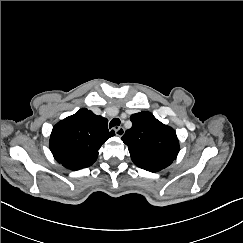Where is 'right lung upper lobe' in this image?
<instances>
[{"label": "right lung upper lobe", "mask_w": 243, "mask_h": 243, "mask_svg": "<svg viewBox=\"0 0 243 243\" xmlns=\"http://www.w3.org/2000/svg\"><path fill=\"white\" fill-rule=\"evenodd\" d=\"M108 120L86 108L58 122L50 136L54 158L67 169L79 170L91 166L104 142L115 135L109 131Z\"/></svg>", "instance_id": "1"}]
</instances>
